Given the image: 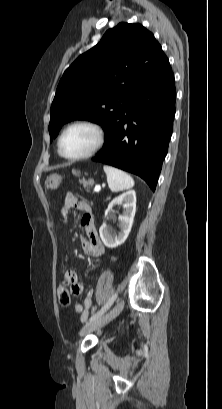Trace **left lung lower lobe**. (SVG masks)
I'll list each match as a JSON object with an SVG mask.
<instances>
[{
    "mask_svg": "<svg viewBox=\"0 0 222 409\" xmlns=\"http://www.w3.org/2000/svg\"><path fill=\"white\" fill-rule=\"evenodd\" d=\"M175 99L171 70L132 98L105 132V144L93 160L140 176L154 191L172 135Z\"/></svg>",
    "mask_w": 222,
    "mask_h": 409,
    "instance_id": "1",
    "label": "left lung lower lobe"
}]
</instances>
